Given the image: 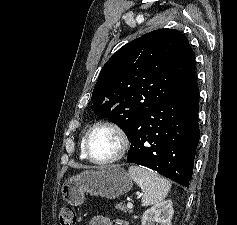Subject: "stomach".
<instances>
[{"label":"stomach","instance_id":"obj_1","mask_svg":"<svg viewBox=\"0 0 237 225\" xmlns=\"http://www.w3.org/2000/svg\"><path fill=\"white\" fill-rule=\"evenodd\" d=\"M130 175L120 166L101 170H85L67 179L61 188L62 197L73 206L84 202V194L115 199L132 189Z\"/></svg>","mask_w":237,"mask_h":225}]
</instances>
